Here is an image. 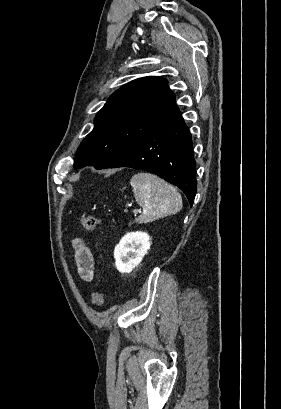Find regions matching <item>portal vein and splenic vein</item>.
<instances>
[{
	"label": "portal vein and splenic vein",
	"instance_id": "obj_1",
	"mask_svg": "<svg viewBox=\"0 0 281 409\" xmlns=\"http://www.w3.org/2000/svg\"><path fill=\"white\" fill-rule=\"evenodd\" d=\"M124 213H125V214H128V213H129V210H128V209H125V210H124ZM134 213H135V214H143V213H144V210H143V209H135V210H134Z\"/></svg>",
	"mask_w": 281,
	"mask_h": 409
}]
</instances>
